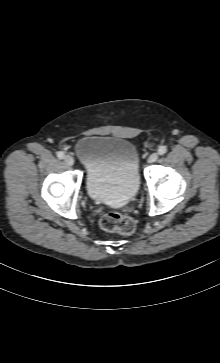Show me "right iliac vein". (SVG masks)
<instances>
[{
    "instance_id": "obj_1",
    "label": "right iliac vein",
    "mask_w": 220,
    "mask_h": 363,
    "mask_svg": "<svg viewBox=\"0 0 220 363\" xmlns=\"http://www.w3.org/2000/svg\"><path fill=\"white\" fill-rule=\"evenodd\" d=\"M64 162H65V164L67 166H73L74 165V159L69 155L65 156Z\"/></svg>"
}]
</instances>
